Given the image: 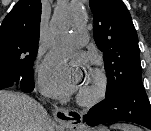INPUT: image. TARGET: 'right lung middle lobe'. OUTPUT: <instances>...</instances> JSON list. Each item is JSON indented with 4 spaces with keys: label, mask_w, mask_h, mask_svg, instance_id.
<instances>
[{
    "label": "right lung middle lobe",
    "mask_w": 151,
    "mask_h": 131,
    "mask_svg": "<svg viewBox=\"0 0 151 131\" xmlns=\"http://www.w3.org/2000/svg\"><path fill=\"white\" fill-rule=\"evenodd\" d=\"M36 55L17 45L0 51V77L6 78L12 88L18 87L22 79L33 76L32 66Z\"/></svg>",
    "instance_id": "obj_1"
}]
</instances>
